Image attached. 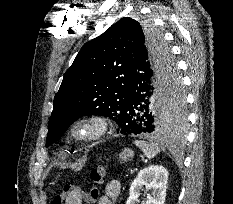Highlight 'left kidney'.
I'll use <instances>...</instances> for the list:
<instances>
[{
    "instance_id": "1",
    "label": "left kidney",
    "mask_w": 233,
    "mask_h": 204,
    "mask_svg": "<svg viewBox=\"0 0 233 204\" xmlns=\"http://www.w3.org/2000/svg\"><path fill=\"white\" fill-rule=\"evenodd\" d=\"M168 171L163 166L153 165L142 169L130 186L126 204H137L140 190H152L142 204H164L167 190Z\"/></svg>"
}]
</instances>
